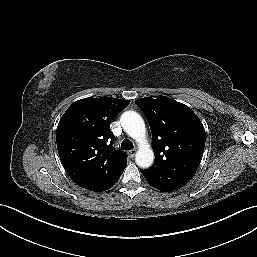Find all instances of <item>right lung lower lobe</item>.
<instances>
[{"label":"right lung lower lobe","instance_id":"obj_1","mask_svg":"<svg viewBox=\"0 0 257 257\" xmlns=\"http://www.w3.org/2000/svg\"><path fill=\"white\" fill-rule=\"evenodd\" d=\"M115 183H116V182H115ZM115 183H114V184H115ZM114 184H113V185H114ZM113 185H111L110 187H112ZM110 187L106 188L105 190L109 189ZM105 190H102V191H105Z\"/></svg>","mask_w":257,"mask_h":257}]
</instances>
